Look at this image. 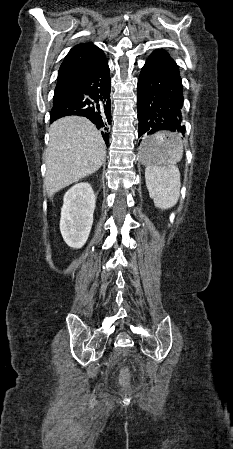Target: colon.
<instances>
[{
	"label": "colon",
	"instance_id": "obj_1",
	"mask_svg": "<svg viewBox=\"0 0 233 449\" xmlns=\"http://www.w3.org/2000/svg\"><path fill=\"white\" fill-rule=\"evenodd\" d=\"M129 381H130V375L128 372H122L120 374V378H119V382L120 385L123 387H127L129 385Z\"/></svg>",
	"mask_w": 233,
	"mask_h": 449
}]
</instances>
